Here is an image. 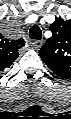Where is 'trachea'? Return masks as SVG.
I'll list each match as a JSON object with an SVG mask.
<instances>
[{
  "label": "trachea",
  "mask_w": 71,
  "mask_h": 119,
  "mask_svg": "<svg viewBox=\"0 0 71 119\" xmlns=\"http://www.w3.org/2000/svg\"><path fill=\"white\" fill-rule=\"evenodd\" d=\"M29 37L31 39L40 40L42 38V32L37 25H33L29 31Z\"/></svg>",
  "instance_id": "obj_1"
}]
</instances>
